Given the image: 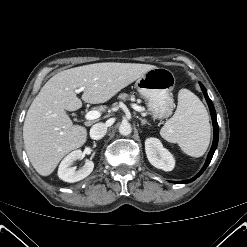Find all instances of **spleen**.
I'll use <instances>...</instances> for the list:
<instances>
[{
  "label": "spleen",
  "instance_id": "3e777b00",
  "mask_svg": "<svg viewBox=\"0 0 247 247\" xmlns=\"http://www.w3.org/2000/svg\"><path fill=\"white\" fill-rule=\"evenodd\" d=\"M160 135L168 142L177 143L192 157L206 152L211 135L209 116L203 103L190 90L179 91L177 109L161 128Z\"/></svg>",
  "mask_w": 247,
  "mask_h": 247
}]
</instances>
